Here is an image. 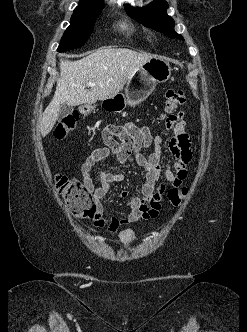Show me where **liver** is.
<instances>
[{
    "label": "liver",
    "mask_w": 247,
    "mask_h": 332,
    "mask_svg": "<svg viewBox=\"0 0 247 332\" xmlns=\"http://www.w3.org/2000/svg\"><path fill=\"white\" fill-rule=\"evenodd\" d=\"M153 55L126 48H101L77 61H60V77L53 99L45 109L40 132L47 136L54 127L63 103L93 104L117 95L133 73ZM88 82L96 83L90 90Z\"/></svg>",
    "instance_id": "obj_1"
}]
</instances>
